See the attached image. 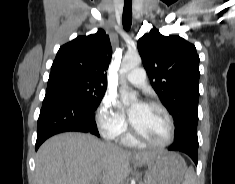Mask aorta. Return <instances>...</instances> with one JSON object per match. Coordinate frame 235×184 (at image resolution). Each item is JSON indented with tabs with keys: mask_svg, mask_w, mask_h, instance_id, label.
Listing matches in <instances>:
<instances>
[{
	"mask_svg": "<svg viewBox=\"0 0 235 184\" xmlns=\"http://www.w3.org/2000/svg\"><path fill=\"white\" fill-rule=\"evenodd\" d=\"M141 64V58L139 54H127V56H124L121 64V70H119L120 76H122V80L120 82L121 84V98L123 104L125 106H130V104H137V96L135 92H127L128 86H126L125 80H123L124 74H127V72H130V70H134V68H138Z\"/></svg>",
	"mask_w": 235,
	"mask_h": 184,
	"instance_id": "aorta-1",
	"label": "aorta"
}]
</instances>
